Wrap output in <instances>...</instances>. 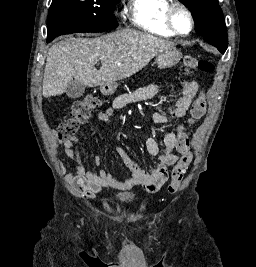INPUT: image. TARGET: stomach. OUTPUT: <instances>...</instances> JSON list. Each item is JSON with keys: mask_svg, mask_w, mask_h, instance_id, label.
<instances>
[{"mask_svg": "<svg viewBox=\"0 0 256 267\" xmlns=\"http://www.w3.org/2000/svg\"><path fill=\"white\" fill-rule=\"evenodd\" d=\"M181 58V52L175 46H166L165 50L158 54L156 62L159 68H172L180 62Z\"/></svg>", "mask_w": 256, "mask_h": 267, "instance_id": "obj_1", "label": "stomach"}]
</instances>
